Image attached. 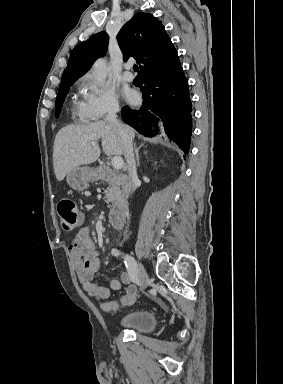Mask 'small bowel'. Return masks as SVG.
<instances>
[{
    "instance_id": "c3829d8e",
    "label": "small bowel",
    "mask_w": 283,
    "mask_h": 384,
    "mask_svg": "<svg viewBox=\"0 0 283 384\" xmlns=\"http://www.w3.org/2000/svg\"><path fill=\"white\" fill-rule=\"evenodd\" d=\"M68 250L73 269L88 296L98 301H104L111 296L113 291L120 290L122 285L131 284L132 281L127 271L122 272L119 279H109L106 283L95 282V275L101 267V260L88 226L83 227L71 239Z\"/></svg>"
}]
</instances>
